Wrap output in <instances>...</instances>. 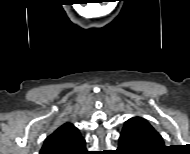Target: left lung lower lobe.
<instances>
[{
  "instance_id": "obj_1",
  "label": "left lung lower lobe",
  "mask_w": 190,
  "mask_h": 154,
  "mask_svg": "<svg viewBox=\"0 0 190 154\" xmlns=\"http://www.w3.org/2000/svg\"><path fill=\"white\" fill-rule=\"evenodd\" d=\"M164 145L161 135L141 118L127 120L119 138V149L126 154H146Z\"/></svg>"
}]
</instances>
